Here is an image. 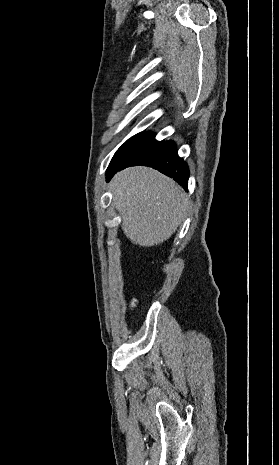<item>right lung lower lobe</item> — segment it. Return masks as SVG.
<instances>
[{"label": "right lung lower lobe", "mask_w": 279, "mask_h": 465, "mask_svg": "<svg viewBox=\"0 0 279 465\" xmlns=\"http://www.w3.org/2000/svg\"><path fill=\"white\" fill-rule=\"evenodd\" d=\"M135 165L152 167L162 172L163 174L173 178L180 185H182L184 189H187L189 177L188 165L178 156L177 149L175 147L163 154L156 156L155 158L147 162ZM128 166H109L106 173L107 181H109L116 172Z\"/></svg>", "instance_id": "obj_1"}]
</instances>
